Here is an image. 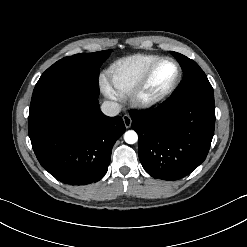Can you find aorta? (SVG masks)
<instances>
[{"label": "aorta", "instance_id": "762f6f07", "mask_svg": "<svg viewBox=\"0 0 247 247\" xmlns=\"http://www.w3.org/2000/svg\"><path fill=\"white\" fill-rule=\"evenodd\" d=\"M124 140L128 144H134L138 141V135L133 130L126 131L124 134Z\"/></svg>", "mask_w": 247, "mask_h": 247}]
</instances>
